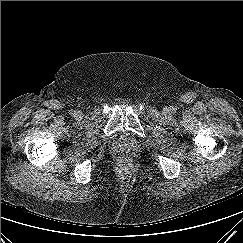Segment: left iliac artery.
Here are the masks:
<instances>
[{"label":"left iliac artery","mask_w":243,"mask_h":243,"mask_svg":"<svg viewBox=\"0 0 243 243\" xmlns=\"http://www.w3.org/2000/svg\"><path fill=\"white\" fill-rule=\"evenodd\" d=\"M170 110H171V111H174L175 109H174V107L171 106V107H170Z\"/></svg>","instance_id":"1"}]
</instances>
